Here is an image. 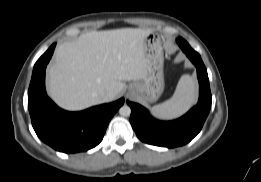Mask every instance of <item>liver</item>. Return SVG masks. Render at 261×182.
Returning <instances> with one entry per match:
<instances>
[{
  "instance_id": "1",
  "label": "liver",
  "mask_w": 261,
  "mask_h": 182,
  "mask_svg": "<svg viewBox=\"0 0 261 182\" xmlns=\"http://www.w3.org/2000/svg\"><path fill=\"white\" fill-rule=\"evenodd\" d=\"M152 32L139 28L91 31L75 42L60 44L48 70L49 95L67 110L114 100L124 90V81L146 77L144 42ZM108 92L111 96L106 99Z\"/></svg>"
}]
</instances>
